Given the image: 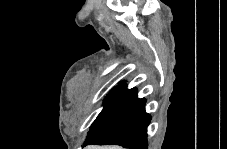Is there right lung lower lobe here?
<instances>
[{
	"label": "right lung lower lobe",
	"mask_w": 227,
	"mask_h": 149,
	"mask_svg": "<svg viewBox=\"0 0 227 149\" xmlns=\"http://www.w3.org/2000/svg\"><path fill=\"white\" fill-rule=\"evenodd\" d=\"M146 100L136 98L116 119L99 127L85 145L115 144L131 149H147V127L151 116L145 111Z\"/></svg>",
	"instance_id": "98d812e1"
}]
</instances>
